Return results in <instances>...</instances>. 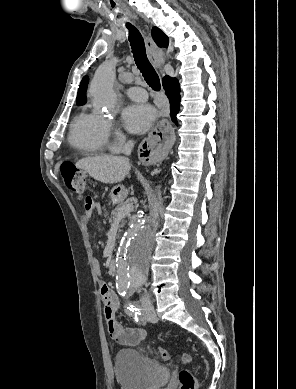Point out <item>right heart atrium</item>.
I'll return each mask as SVG.
<instances>
[{
  "label": "right heart atrium",
  "mask_w": 296,
  "mask_h": 389,
  "mask_svg": "<svg viewBox=\"0 0 296 389\" xmlns=\"http://www.w3.org/2000/svg\"><path fill=\"white\" fill-rule=\"evenodd\" d=\"M107 135L112 136L115 140L114 149H118L123 141L122 135L112 121H106Z\"/></svg>",
  "instance_id": "right-heart-atrium-1"
}]
</instances>
